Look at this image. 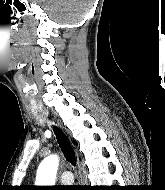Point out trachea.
I'll return each instance as SVG.
<instances>
[{
	"label": "trachea",
	"instance_id": "3493384b",
	"mask_svg": "<svg viewBox=\"0 0 165 190\" xmlns=\"http://www.w3.org/2000/svg\"><path fill=\"white\" fill-rule=\"evenodd\" d=\"M54 131H55L59 146H60L66 160L75 166L76 165V157H75V152L73 150L71 143L69 142L66 135L62 132V130L55 127Z\"/></svg>",
	"mask_w": 165,
	"mask_h": 190
}]
</instances>
